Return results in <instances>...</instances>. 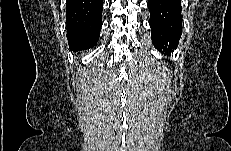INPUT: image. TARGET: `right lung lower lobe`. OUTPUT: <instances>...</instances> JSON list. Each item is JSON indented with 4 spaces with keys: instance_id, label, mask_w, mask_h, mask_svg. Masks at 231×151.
I'll list each match as a JSON object with an SVG mask.
<instances>
[{
    "instance_id": "obj_1",
    "label": "right lung lower lobe",
    "mask_w": 231,
    "mask_h": 151,
    "mask_svg": "<svg viewBox=\"0 0 231 151\" xmlns=\"http://www.w3.org/2000/svg\"><path fill=\"white\" fill-rule=\"evenodd\" d=\"M103 0H67V38L73 52L96 45L102 25Z\"/></svg>"
}]
</instances>
